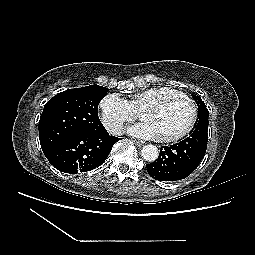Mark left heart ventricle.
Here are the masks:
<instances>
[{
    "label": "left heart ventricle",
    "instance_id": "b2bd125f",
    "mask_svg": "<svg viewBox=\"0 0 255 255\" xmlns=\"http://www.w3.org/2000/svg\"><path fill=\"white\" fill-rule=\"evenodd\" d=\"M191 114L189 104L179 98L140 112L142 120L153 124L157 137L172 135L184 129L191 119Z\"/></svg>",
    "mask_w": 255,
    "mask_h": 255
}]
</instances>
